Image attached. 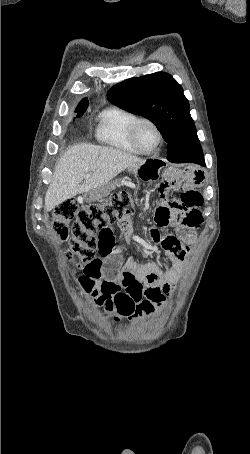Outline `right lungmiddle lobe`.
I'll list each match as a JSON object with an SVG mask.
<instances>
[{
	"label": "right lung middle lobe",
	"instance_id": "obj_1",
	"mask_svg": "<svg viewBox=\"0 0 250 454\" xmlns=\"http://www.w3.org/2000/svg\"><path fill=\"white\" fill-rule=\"evenodd\" d=\"M87 107H88V103L79 104L76 109L77 117H81L83 115V113L86 111Z\"/></svg>",
	"mask_w": 250,
	"mask_h": 454
}]
</instances>
